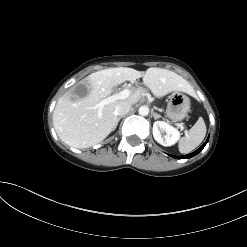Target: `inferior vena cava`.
Listing matches in <instances>:
<instances>
[{"label": "inferior vena cava", "instance_id": "inferior-vena-cava-1", "mask_svg": "<svg viewBox=\"0 0 247 247\" xmlns=\"http://www.w3.org/2000/svg\"><path fill=\"white\" fill-rule=\"evenodd\" d=\"M131 110V104L127 101H120L115 107V114L119 116L126 115Z\"/></svg>", "mask_w": 247, "mask_h": 247}]
</instances>
